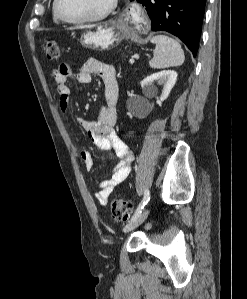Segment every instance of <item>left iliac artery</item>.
<instances>
[{"label":"left iliac artery","mask_w":247,"mask_h":299,"mask_svg":"<svg viewBox=\"0 0 247 299\" xmlns=\"http://www.w3.org/2000/svg\"><path fill=\"white\" fill-rule=\"evenodd\" d=\"M150 200V191L148 189L145 190L144 192V197L142 202L139 204V206L137 207L134 215L132 216L131 220L136 219L142 212V210L144 209V207L147 205V203Z\"/></svg>","instance_id":"obj_1"}]
</instances>
